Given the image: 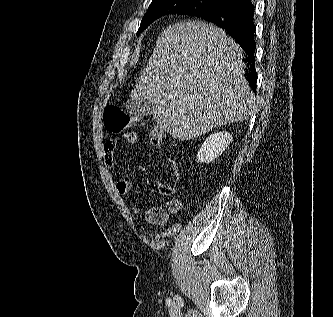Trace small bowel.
Wrapping results in <instances>:
<instances>
[{"mask_svg":"<svg viewBox=\"0 0 333 317\" xmlns=\"http://www.w3.org/2000/svg\"><path fill=\"white\" fill-rule=\"evenodd\" d=\"M124 140L132 145L138 144V135L135 132H128L122 136ZM118 140L109 139L105 142L103 148L104 163L108 168L114 166V153L117 148ZM176 182L180 179V174L175 169ZM116 189L121 196H128L133 191V184L128 179H120L116 184ZM160 193L169 196L165 206H154L145 213V220L150 225H163L168 221L169 215L177 214L181 209V201L174 197L176 193V186L165 183L159 184ZM135 213L139 214V208H134Z\"/></svg>","mask_w":333,"mask_h":317,"instance_id":"1","label":"small bowel"}]
</instances>
